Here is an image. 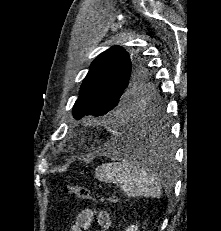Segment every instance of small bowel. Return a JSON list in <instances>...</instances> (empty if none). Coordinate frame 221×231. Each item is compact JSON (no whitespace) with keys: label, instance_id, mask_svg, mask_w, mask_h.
<instances>
[{"label":"small bowel","instance_id":"1","mask_svg":"<svg viewBox=\"0 0 221 231\" xmlns=\"http://www.w3.org/2000/svg\"><path fill=\"white\" fill-rule=\"evenodd\" d=\"M94 221L101 230H107L111 226V216L108 212L85 208L76 216L70 231H85Z\"/></svg>","mask_w":221,"mask_h":231}]
</instances>
